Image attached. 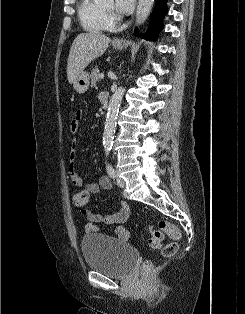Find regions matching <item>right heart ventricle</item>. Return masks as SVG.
<instances>
[{
  "mask_svg": "<svg viewBox=\"0 0 245 314\" xmlns=\"http://www.w3.org/2000/svg\"><path fill=\"white\" fill-rule=\"evenodd\" d=\"M78 17L83 28L92 33H101L111 28L102 6L96 0H80Z\"/></svg>",
  "mask_w": 245,
  "mask_h": 314,
  "instance_id": "e07e8e85",
  "label": "right heart ventricle"
}]
</instances>
